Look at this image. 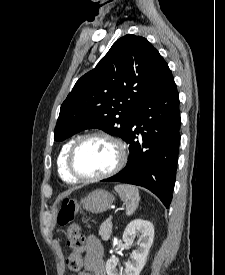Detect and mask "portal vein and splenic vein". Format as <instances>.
Instances as JSON below:
<instances>
[{
	"label": "portal vein and splenic vein",
	"instance_id": "1",
	"mask_svg": "<svg viewBox=\"0 0 225 275\" xmlns=\"http://www.w3.org/2000/svg\"><path fill=\"white\" fill-rule=\"evenodd\" d=\"M111 219H112V218L110 217V218H108L107 220H108V221H111Z\"/></svg>",
	"mask_w": 225,
	"mask_h": 275
}]
</instances>
